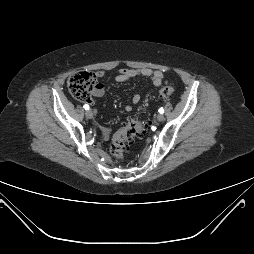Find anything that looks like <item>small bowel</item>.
Returning <instances> with one entry per match:
<instances>
[{"instance_id":"obj_1","label":"small bowel","mask_w":254,"mask_h":254,"mask_svg":"<svg viewBox=\"0 0 254 254\" xmlns=\"http://www.w3.org/2000/svg\"><path fill=\"white\" fill-rule=\"evenodd\" d=\"M97 77L101 78L104 75L103 71H98L96 73ZM131 79H141V80H149L156 87L160 86L164 82V75L159 70H153L150 68H122L118 71L117 75L114 78L116 83L126 82ZM105 93V87L102 83H98L94 88L92 95L94 97H101ZM141 100L140 94L136 93L132 97L133 104H138ZM88 103H92V100L89 99ZM125 110L130 112L132 110L131 105H127ZM102 134L105 138L110 136V131L107 128L102 129Z\"/></svg>"}]
</instances>
